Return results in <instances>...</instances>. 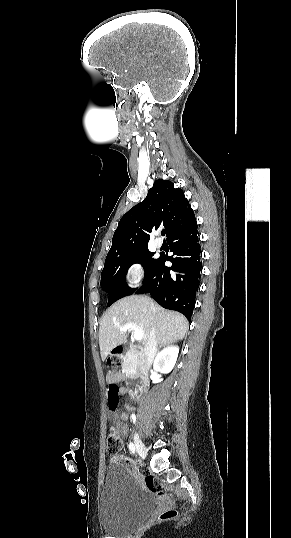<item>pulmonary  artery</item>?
<instances>
[{
  "label": "pulmonary artery",
  "mask_w": 291,
  "mask_h": 538,
  "mask_svg": "<svg viewBox=\"0 0 291 538\" xmlns=\"http://www.w3.org/2000/svg\"><path fill=\"white\" fill-rule=\"evenodd\" d=\"M155 246H156L157 248H160V247L162 246V241H161L160 239H156V240H155Z\"/></svg>",
  "instance_id": "obj_1"
}]
</instances>
